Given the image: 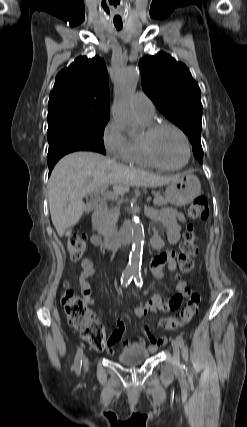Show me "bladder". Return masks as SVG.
I'll use <instances>...</instances> for the list:
<instances>
[{
  "mask_svg": "<svg viewBox=\"0 0 247 427\" xmlns=\"http://www.w3.org/2000/svg\"><path fill=\"white\" fill-rule=\"evenodd\" d=\"M150 356V353L144 347L134 346L128 347L121 351L117 359L118 361L127 366L136 365L145 361Z\"/></svg>",
  "mask_w": 247,
  "mask_h": 427,
  "instance_id": "31cf9c89",
  "label": "bladder"
}]
</instances>
